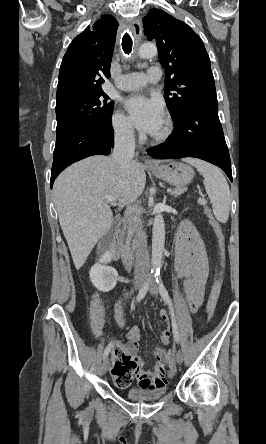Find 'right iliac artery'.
<instances>
[{"instance_id":"right-iliac-artery-1","label":"right iliac artery","mask_w":266,"mask_h":444,"mask_svg":"<svg viewBox=\"0 0 266 444\" xmlns=\"http://www.w3.org/2000/svg\"><path fill=\"white\" fill-rule=\"evenodd\" d=\"M150 280H151V277L148 279V281L140 289V291H139V293L137 295V298H136L137 302L141 301L145 297V295H146V293H147V291L149 289ZM111 347H112V342L109 343L108 346L105 348L104 354H103V358L108 356V354H109V352L111 350Z\"/></svg>"}]
</instances>
